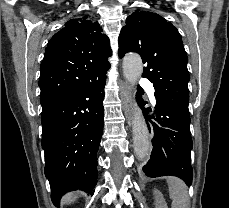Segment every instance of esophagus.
Instances as JSON below:
<instances>
[{
	"instance_id": "obj_1",
	"label": "esophagus",
	"mask_w": 229,
	"mask_h": 208,
	"mask_svg": "<svg viewBox=\"0 0 229 208\" xmlns=\"http://www.w3.org/2000/svg\"><path fill=\"white\" fill-rule=\"evenodd\" d=\"M123 102L124 114L126 117V121L128 126H132L133 124V101L131 95V85L128 82L124 83V89L121 95Z\"/></svg>"
}]
</instances>
